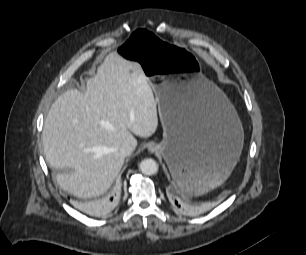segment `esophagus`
<instances>
[{"instance_id": "obj_1", "label": "esophagus", "mask_w": 306, "mask_h": 255, "mask_svg": "<svg viewBox=\"0 0 306 255\" xmlns=\"http://www.w3.org/2000/svg\"><path fill=\"white\" fill-rule=\"evenodd\" d=\"M148 150H149V152H151V153L156 152V151H157V146H156V144H154V143L149 144V145H148Z\"/></svg>"}]
</instances>
